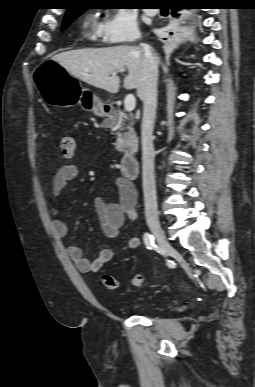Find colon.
<instances>
[{
  "instance_id": "colon-1",
  "label": "colon",
  "mask_w": 255,
  "mask_h": 387,
  "mask_svg": "<svg viewBox=\"0 0 255 387\" xmlns=\"http://www.w3.org/2000/svg\"><path fill=\"white\" fill-rule=\"evenodd\" d=\"M58 147L62 158H71L75 150L74 139L69 135H62L59 138ZM143 282L144 277L141 274L134 275L131 280L134 287L142 286ZM100 285L109 290H115L118 287V281L113 275L103 274L100 277Z\"/></svg>"
}]
</instances>
